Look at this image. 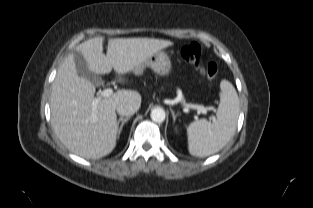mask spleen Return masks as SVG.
Wrapping results in <instances>:
<instances>
[{"mask_svg":"<svg viewBox=\"0 0 313 208\" xmlns=\"http://www.w3.org/2000/svg\"><path fill=\"white\" fill-rule=\"evenodd\" d=\"M220 89L217 120L200 119L187 127L188 149L193 156L206 157L218 152L235 133L240 111L238 94L228 80L221 81Z\"/></svg>","mask_w":313,"mask_h":208,"instance_id":"obj_1","label":"spleen"}]
</instances>
